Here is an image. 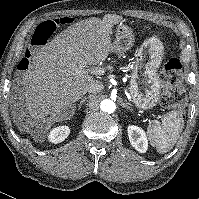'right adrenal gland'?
<instances>
[{"mask_svg": "<svg viewBox=\"0 0 199 199\" xmlns=\"http://www.w3.org/2000/svg\"><path fill=\"white\" fill-rule=\"evenodd\" d=\"M86 100H87V97H84V98L80 101V103L78 104V108H80L81 105H82L83 103L86 102ZM76 108H77L76 105L73 106V114L75 113Z\"/></svg>", "mask_w": 199, "mask_h": 199, "instance_id": "obj_1", "label": "right adrenal gland"}]
</instances>
